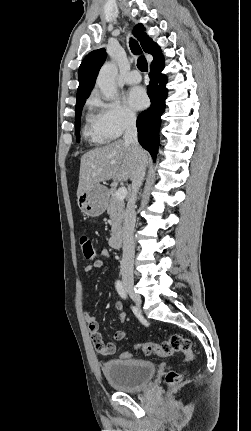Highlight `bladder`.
<instances>
[{"label": "bladder", "instance_id": "obj_1", "mask_svg": "<svg viewBox=\"0 0 251 431\" xmlns=\"http://www.w3.org/2000/svg\"><path fill=\"white\" fill-rule=\"evenodd\" d=\"M102 372L113 389L137 392L153 378L156 366L148 360L114 359L104 363Z\"/></svg>", "mask_w": 251, "mask_h": 431}]
</instances>
